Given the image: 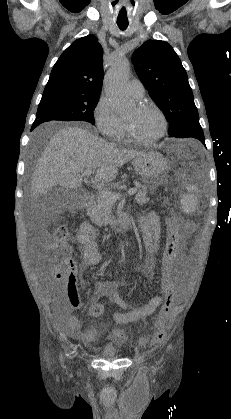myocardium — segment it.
<instances>
[{
  "mask_svg": "<svg viewBox=\"0 0 231 419\" xmlns=\"http://www.w3.org/2000/svg\"><path fill=\"white\" fill-rule=\"evenodd\" d=\"M137 107L140 110H153V111H155L159 115V117L161 119L162 127H161L160 132L157 135H155L154 137L149 138V139H141V138L136 137L132 133L129 124L126 122L127 137L129 138L130 141H132V142H134V143H136L138 145H151V144H154L157 141H159L166 134L167 129H168V121H167V118H166L164 112L158 106H156L155 104H152V103H140V104H138Z\"/></svg>",
  "mask_w": 231,
  "mask_h": 419,
  "instance_id": "myocardium-1",
  "label": "myocardium"
}]
</instances>
